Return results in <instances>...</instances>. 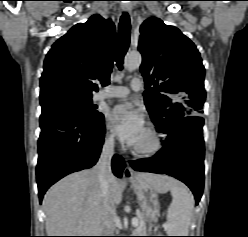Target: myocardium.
<instances>
[{"label":"myocardium","mask_w":248,"mask_h":237,"mask_svg":"<svg viewBox=\"0 0 248 237\" xmlns=\"http://www.w3.org/2000/svg\"><path fill=\"white\" fill-rule=\"evenodd\" d=\"M146 131L151 137V143L146 147H134L133 153L139 157L148 158L158 154L163 148V138L160 132L153 126Z\"/></svg>","instance_id":"myocardium-1"}]
</instances>
